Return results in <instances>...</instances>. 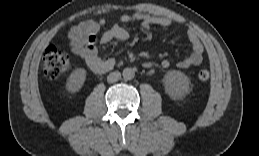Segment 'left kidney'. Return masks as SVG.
Returning <instances> with one entry per match:
<instances>
[{"label":"left kidney","mask_w":259,"mask_h":156,"mask_svg":"<svg viewBox=\"0 0 259 156\" xmlns=\"http://www.w3.org/2000/svg\"><path fill=\"white\" fill-rule=\"evenodd\" d=\"M190 79L183 72L168 71L163 79L165 92L174 99H182L190 92Z\"/></svg>","instance_id":"5707ae66"}]
</instances>
